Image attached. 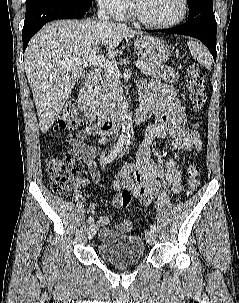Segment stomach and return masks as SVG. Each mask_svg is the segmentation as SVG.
<instances>
[{
  "mask_svg": "<svg viewBox=\"0 0 239 303\" xmlns=\"http://www.w3.org/2000/svg\"><path fill=\"white\" fill-rule=\"evenodd\" d=\"M135 47L151 61L164 63L171 55V47L162 39L153 36H140L134 41Z\"/></svg>",
  "mask_w": 239,
  "mask_h": 303,
  "instance_id": "1",
  "label": "stomach"
}]
</instances>
